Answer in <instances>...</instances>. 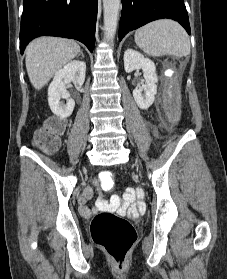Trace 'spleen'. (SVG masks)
<instances>
[{
    "mask_svg": "<svg viewBox=\"0 0 227 279\" xmlns=\"http://www.w3.org/2000/svg\"><path fill=\"white\" fill-rule=\"evenodd\" d=\"M136 44L148 55L159 57L174 55L184 57L190 54V40L186 31L168 19L154 21L135 32Z\"/></svg>",
    "mask_w": 227,
    "mask_h": 279,
    "instance_id": "1",
    "label": "spleen"
}]
</instances>
